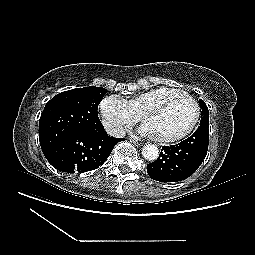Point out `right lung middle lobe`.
Masks as SVG:
<instances>
[{"instance_id":"dd1d6c3e","label":"right lung middle lobe","mask_w":255,"mask_h":255,"mask_svg":"<svg viewBox=\"0 0 255 255\" xmlns=\"http://www.w3.org/2000/svg\"><path fill=\"white\" fill-rule=\"evenodd\" d=\"M107 90L84 87L64 91L47 102L39 120V141L43 153L49 152L74 131L97 133L104 130L97 114Z\"/></svg>"}]
</instances>
